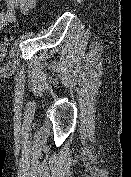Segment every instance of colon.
<instances>
[{
  "mask_svg": "<svg viewBox=\"0 0 131 177\" xmlns=\"http://www.w3.org/2000/svg\"><path fill=\"white\" fill-rule=\"evenodd\" d=\"M13 38L14 36L12 33H7L3 38L2 42L0 43V61H2L5 58L8 47L13 41Z\"/></svg>",
  "mask_w": 131,
  "mask_h": 177,
  "instance_id": "obj_1",
  "label": "colon"
}]
</instances>
